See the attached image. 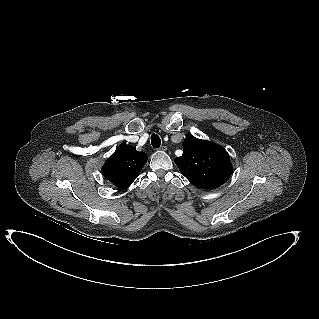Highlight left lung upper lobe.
I'll return each instance as SVG.
<instances>
[{"label": "left lung upper lobe", "instance_id": "obj_1", "mask_svg": "<svg viewBox=\"0 0 319 319\" xmlns=\"http://www.w3.org/2000/svg\"><path fill=\"white\" fill-rule=\"evenodd\" d=\"M180 172L198 188L216 189L232 175L227 151L209 141L190 135L183 142V154L175 158Z\"/></svg>", "mask_w": 319, "mask_h": 319}]
</instances>
